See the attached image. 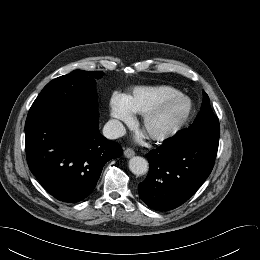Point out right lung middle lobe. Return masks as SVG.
<instances>
[{"instance_id": "obj_1", "label": "right lung middle lobe", "mask_w": 260, "mask_h": 260, "mask_svg": "<svg viewBox=\"0 0 260 260\" xmlns=\"http://www.w3.org/2000/svg\"><path fill=\"white\" fill-rule=\"evenodd\" d=\"M103 74L100 71L75 70L53 79L43 88L32 106L59 104L96 107L94 79L101 78Z\"/></svg>"}]
</instances>
